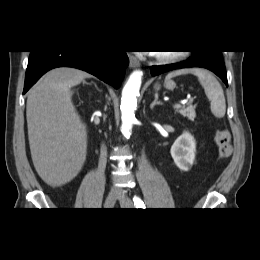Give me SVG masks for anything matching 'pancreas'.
Instances as JSON below:
<instances>
[{
  "mask_svg": "<svg viewBox=\"0 0 260 260\" xmlns=\"http://www.w3.org/2000/svg\"><path fill=\"white\" fill-rule=\"evenodd\" d=\"M176 112L180 113L182 116L187 117L189 120L194 121L196 117L195 106H180L174 107Z\"/></svg>",
  "mask_w": 260,
  "mask_h": 260,
  "instance_id": "cf45deb5",
  "label": "pancreas"
}]
</instances>
